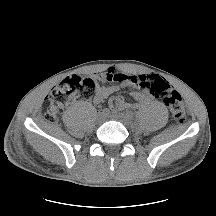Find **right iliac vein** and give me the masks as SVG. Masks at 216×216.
Wrapping results in <instances>:
<instances>
[{"label":"right iliac vein","mask_w":216,"mask_h":216,"mask_svg":"<svg viewBox=\"0 0 216 216\" xmlns=\"http://www.w3.org/2000/svg\"><path fill=\"white\" fill-rule=\"evenodd\" d=\"M105 119H106V115H105V114L99 113V114L97 115V122H98L99 124L103 123V122L105 121Z\"/></svg>","instance_id":"obj_1"}]
</instances>
